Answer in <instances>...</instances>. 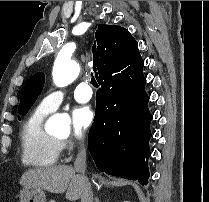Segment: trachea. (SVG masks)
I'll list each match as a JSON object with an SVG mask.
<instances>
[{
  "instance_id": "obj_1",
  "label": "trachea",
  "mask_w": 209,
  "mask_h": 202,
  "mask_svg": "<svg viewBox=\"0 0 209 202\" xmlns=\"http://www.w3.org/2000/svg\"><path fill=\"white\" fill-rule=\"evenodd\" d=\"M90 83L92 84L93 87H96V88L98 87V83L94 77H91Z\"/></svg>"
}]
</instances>
